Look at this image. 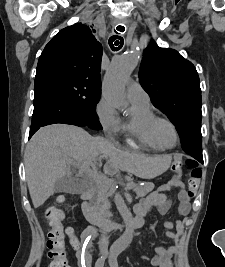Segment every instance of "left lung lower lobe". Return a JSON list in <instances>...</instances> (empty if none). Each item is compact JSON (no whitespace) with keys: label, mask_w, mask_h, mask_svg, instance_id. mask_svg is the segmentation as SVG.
I'll return each instance as SVG.
<instances>
[{"label":"left lung lower lobe","mask_w":225,"mask_h":267,"mask_svg":"<svg viewBox=\"0 0 225 267\" xmlns=\"http://www.w3.org/2000/svg\"><path fill=\"white\" fill-rule=\"evenodd\" d=\"M197 161L200 162V163H203V158L202 159L200 158Z\"/></svg>","instance_id":"0a47b994"}]
</instances>
